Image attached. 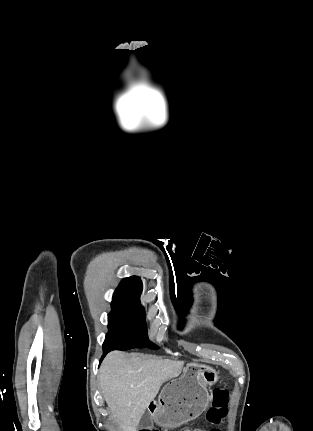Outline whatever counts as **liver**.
<instances>
[{"mask_svg": "<svg viewBox=\"0 0 313 431\" xmlns=\"http://www.w3.org/2000/svg\"><path fill=\"white\" fill-rule=\"evenodd\" d=\"M183 361L139 353H109L100 368V386L112 417L122 431H136L162 384L178 377Z\"/></svg>", "mask_w": 313, "mask_h": 431, "instance_id": "1", "label": "liver"}]
</instances>
